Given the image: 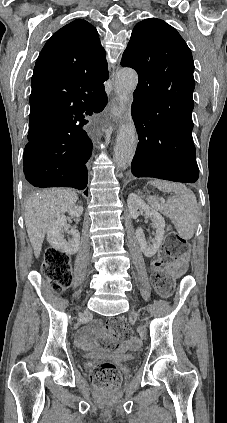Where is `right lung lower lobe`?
I'll use <instances>...</instances> for the list:
<instances>
[{
	"label": "right lung lower lobe",
	"instance_id": "obj_1",
	"mask_svg": "<svg viewBox=\"0 0 227 423\" xmlns=\"http://www.w3.org/2000/svg\"><path fill=\"white\" fill-rule=\"evenodd\" d=\"M107 102L87 100L31 106L30 121L63 119L69 127L44 140L28 142L24 149V173L35 187H72L87 195V165L92 142L85 129L88 118L102 111Z\"/></svg>",
	"mask_w": 227,
	"mask_h": 423
}]
</instances>
